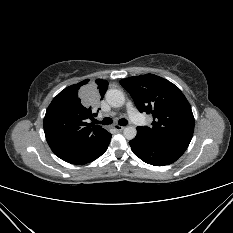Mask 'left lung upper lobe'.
<instances>
[{"label":"left lung upper lobe","mask_w":233,"mask_h":233,"mask_svg":"<svg viewBox=\"0 0 233 233\" xmlns=\"http://www.w3.org/2000/svg\"><path fill=\"white\" fill-rule=\"evenodd\" d=\"M140 112L152 114V127H137L150 142L185 151L192 139L194 116L181 90L153 74L122 79Z\"/></svg>","instance_id":"1"}]
</instances>
